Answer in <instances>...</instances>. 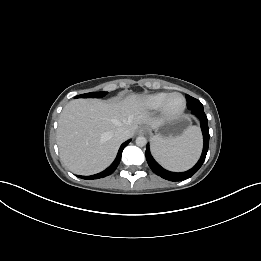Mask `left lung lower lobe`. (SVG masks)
<instances>
[{
    "label": "left lung lower lobe",
    "mask_w": 261,
    "mask_h": 261,
    "mask_svg": "<svg viewBox=\"0 0 261 261\" xmlns=\"http://www.w3.org/2000/svg\"><path fill=\"white\" fill-rule=\"evenodd\" d=\"M191 111L200 120L203 139H204L202 155H201L199 161L197 162V164L192 169L185 171V172H181V173H175V172H170L168 170H165L154 160V158L150 154L149 144L146 147V160H147L149 167L155 174L161 176L162 178H164L166 180L182 181V180L192 177L200 169V167L202 166V164L206 158V154H207L208 146H209V128H208V123H207V116L204 113L203 109H193Z\"/></svg>",
    "instance_id": "left-lung-lower-lobe-1"
}]
</instances>
